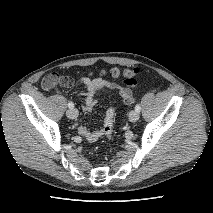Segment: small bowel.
<instances>
[{
	"label": "small bowel",
	"mask_w": 213,
	"mask_h": 213,
	"mask_svg": "<svg viewBox=\"0 0 213 213\" xmlns=\"http://www.w3.org/2000/svg\"><path fill=\"white\" fill-rule=\"evenodd\" d=\"M60 76L56 73H51L47 75L42 81V87L44 90H50L58 84L68 86L71 84V81L63 82L60 79ZM80 82L86 87V91L81 94L83 99V108L85 110H91L96 103L95 96L98 93L105 91H115L117 90L122 97L124 104H131L134 101V97L131 91V95L129 98H125L122 95V91L125 88L119 87L117 84L104 80L102 78H90V77H82ZM78 132L83 135L88 141L94 142L101 135L102 131L100 130H89L84 126L78 127Z\"/></svg>",
	"instance_id": "obj_1"
}]
</instances>
